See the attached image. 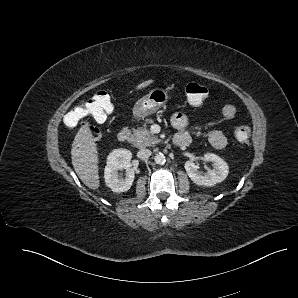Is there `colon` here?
I'll return each instance as SVG.
<instances>
[{"mask_svg": "<svg viewBox=\"0 0 298 298\" xmlns=\"http://www.w3.org/2000/svg\"><path fill=\"white\" fill-rule=\"evenodd\" d=\"M185 93L188 102L193 105H201L209 97L208 89L197 83H189L185 88ZM112 111L113 105L109 93L101 91L77 103L65 115V122L68 126H76L84 119L91 118L101 123ZM233 133L238 142L246 144L251 137V128L247 124H238Z\"/></svg>", "mask_w": 298, "mask_h": 298, "instance_id": "1", "label": "colon"}]
</instances>
